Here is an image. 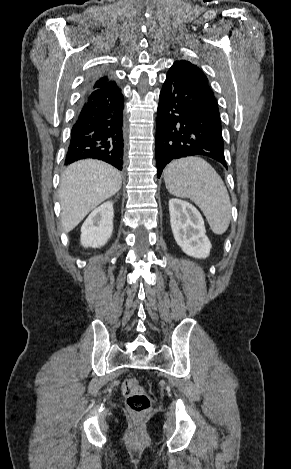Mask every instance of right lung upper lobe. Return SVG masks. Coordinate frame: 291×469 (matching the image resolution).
I'll list each match as a JSON object with an SVG mask.
<instances>
[{
    "mask_svg": "<svg viewBox=\"0 0 291 469\" xmlns=\"http://www.w3.org/2000/svg\"><path fill=\"white\" fill-rule=\"evenodd\" d=\"M112 86H116V83L110 80L107 73H101V74L94 76V81L91 85V88L95 89V88L112 87Z\"/></svg>",
    "mask_w": 291,
    "mask_h": 469,
    "instance_id": "right-lung-upper-lobe-1",
    "label": "right lung upper lobe"
}]
</instances>
